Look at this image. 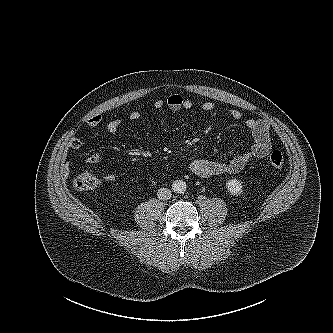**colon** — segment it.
I'll use <instances>...</instances> for the list:
<instances>
[{"mask_svg": "<svg viewBox=\"0 0 333 333\" xmlns=\"http://www.w3.org/2000/svg\"><path fill=\"white\" fill-rule=\"evenodd\" d=\"M285 158L281 151L274 150L268 158V168L279 170L284 166ZM72 185L77 190H90L97 188L100 185V180L89 172L78 174L72 181Z\"/></svg>", "mask_w": 333, "mask_h": 333, "instance_id": "5ec220e1", "label": "colon"}]
</instances>
